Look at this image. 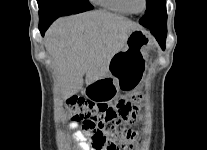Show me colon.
<instances>
[{"label": "colon", "mask_w": 207, "mask_h": 150, "mask_svg": "<svg viewBox=\"0 0 207 150\" xmlns=\"http://www.w3.org/2000/svg\"><path fill=\"white\" fill-rule=\"evenodd\" d=\"M137 97L121 98L114 104L94 101L81 97H71L64 106L73 120L82 121L86 132L92 134L93 146L97 150H125L132 148L136 133L126 123H137L135 109ZM141 109L139 106L136 108ZM141 122H149V117H141Z\"/></svg>", "instance_id": "1"}]
</instances>
